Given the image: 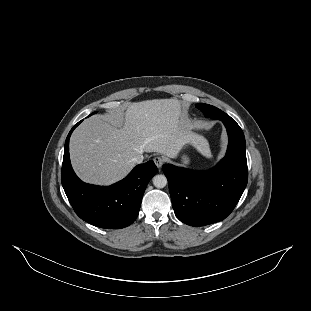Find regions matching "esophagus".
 Masks as SVG:
<instances>
[{
    "label": "esophagus",
    "instance_id": "esophagus-1",
    "mask_svg": "<svg viewBox=\"0 0 311 311\" xmlns=\"http://www.w3.org/2000/svg\"><path fill=\"white\" fill-rule=\"evenodd\" d=\"M154 163L156 164V166L158 168L162 167L163 163H164V159L160 156H156L153 158Z\"/></svg>",
    "mask_w": 311,
    "mask_h": 311
}]
</instances>
